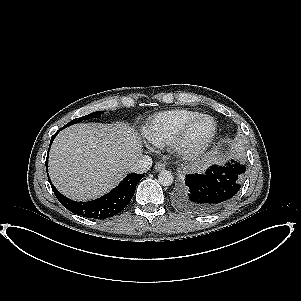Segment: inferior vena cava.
I'll list each match as a JSON object with an SVG mask.
<instances>
[{
    "instance_id": "inferior-vena-cava-1",
    "label": "inferior vena cava",
    "mask_w": 301,
    "mask_h": 301,
    "mask_svg": "<svg viewBox=\"0 0 301 301\" xmlns=\"http://www.w3.org/2000/svg\"><path fill=\"white\" fill-rule=\"evenodd\" d=\"M152 166V159L148 155H140L130 166V172L142 174L146 173Z\"/></svg>"
}]
</instances>
